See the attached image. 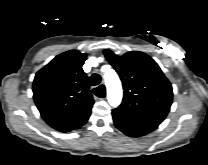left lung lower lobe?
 <instances>
[{
	"label": "left lung lower lobe",
	"instance_id": "left-lung-lower-lobe-1",
	"mask_svg": "<svg viewBox=\"0 0 208 165\" xmlns=\"http://www.w3.org/2000/svg\"><path fill=\"white\" fill-rule=\"evenodd\" d=\"M115 126L124 134L131 137H141L154 131L158 125L127 118L112 111Z\"/></svg>",
	"mask_w": 208,
	"mask_h": 165
}]
</instances>
